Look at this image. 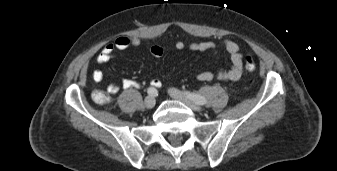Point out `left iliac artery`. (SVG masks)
<instances>
[{
    "label": "left iliac artery",
    "instance_id": "obj_1",
    "mask_svg": "<svg viewBox=\"0 0 337 171\" xmlns=\"http://www.w3.org/2000/svg\"><path fill=\"white\" fill-rule=\"evenodd\" d=\"M186 94L188 95L190 99H192L195 103L199 105H203L206 103V99L199 94L190 93V92H186Z\"/></svg>",
    "mask_w": 337,
    "mask_h": 171
}]
</instances>
